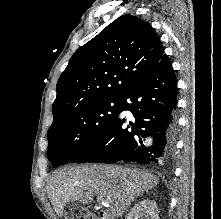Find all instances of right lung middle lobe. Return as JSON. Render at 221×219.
<instances>
[{
    "mask_svg": "<svg viewBox=\"0 0 221 219\" xmlns=\"http://www.w3.org/2000/svg\"><path fill=\"white\" fill-rule=\"evenodd\" d=\"M121 109V99L81 105L56 121L47 133L48 159L54 165L71 162L104 134Z\"/></svg>",
    "mask_w": 221,
    "mask_h": 219,
    "instance_id": "right-lung-middle-lobe-1",
    "label": "right lung middle lobe"
}]
</instances>
